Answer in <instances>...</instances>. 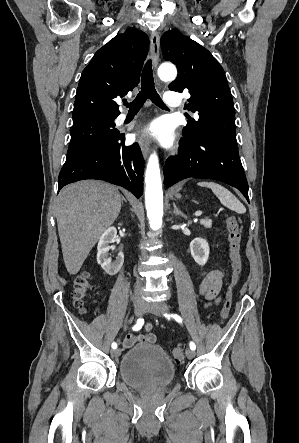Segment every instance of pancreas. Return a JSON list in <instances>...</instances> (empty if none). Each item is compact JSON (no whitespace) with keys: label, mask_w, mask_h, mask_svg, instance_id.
I'll return each instance as SVG.
<instances>
[{"label":"pancreas","mask_w":299,"mask_h":443,"mask_svg":"<svg viewBox=\"0 0 299 443\" xmlns=\"http://www.w3.org/2000/svg\"><path fill=\"white\" fill-rule=\"evenodd\" d=\"M201 225H203L205 228H211L212 227V220L205 218L200 220Z\"/></svg>","instance_id":"cf45deb5"}]
</instances>
